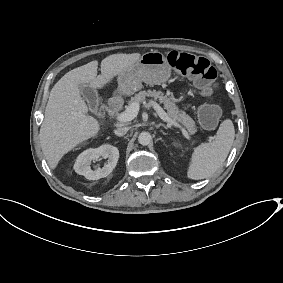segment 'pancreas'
Listing matches in <instances>:
<instances>
[{"mask_svg":"<svg viewBox=\"0 0 283 283\" xmlns=\"http://www.w3.org/2000/svg\"><path fill=\"white\" fill-rule=\"evenodd\" d=\"M146 97H153L154 100H159L160 103H163L164 109L167 110V115L171 117L174 121L182 123V125L185 126V128L190 134H194L197 131L194 120L184 111L179 110L176 104L171 101L170 98L165 96L161 91H140L139 93L135 94L134 97H131L128 104L130 105L132 103H143ZM118 100L119 103L116 108L113 109L114 112L121 110L123 107L124 100L122 98H119ZM149 103L152 105L153 101H150Z\"/></svg>","mask_w":283,"mask_h":283,"instance_id":"obj_1","label":"pancreas"}]
</instances>
